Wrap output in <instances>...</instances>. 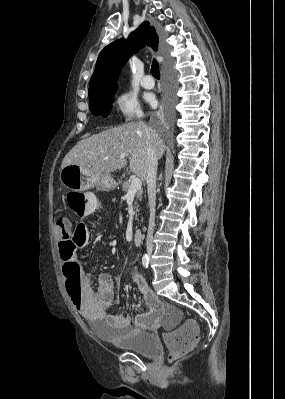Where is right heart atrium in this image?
Returning a JSON list of instances; mask_svg holds the SVG:
<instances>
[{"mask_svg": "<svg viewBox=\"0 0 285 399\" xmlns=\"http://www.w3.org/2000/svg\"><path fill=\"white\" fill-rule=\"evenodd\" d=\"M114 105L117 113L124 120H132L142 116V110L137 98L129 91L118 94Z\"/></svg>", "mask_w": 285, "mask_h": 399, "instance_id": "d8ad5b80", "label": "right heart atrium"}]
</instances>
